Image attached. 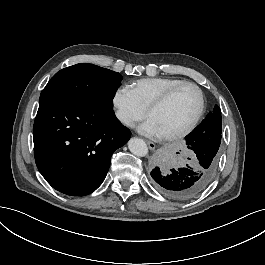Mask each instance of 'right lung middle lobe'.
I'll use <instances>...</instances> for the list:
<instances>
[{"label": "right lung middle lobe", "mask_w": 265, "mask_h": 265, "mask_svg": "<svg viewBox=\"0 0 265 265\" xmlns=\"http://www.w3.org/2000/svg\"><path fill=\"white\" fill-rule=\"evenodd\" d=\"M121 79L117 72L80 63L57 72L42 91L40 99L58 97L112 109V99Z\"/></svg>", "instance_id": "1"}]
</instances>
